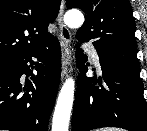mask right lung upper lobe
I'll return each instance as SVG.
<instances>
[{
	"instance_id": "cb5924a9",
	"label": "right lung upper lobe",
	"mask_w": 147,
	"mask_h": 131,
	"mask_svg": "<svg viewBox=\"0 0 147 131\" xmlns=\"http://www.w3.org/2000/svg\"><path fill=\"white\" fill-rule=\"evenodd\" d=\"M61 0H0V61L14 59L48 44L47 27Z\"/></svg>"
}]
</instances>
